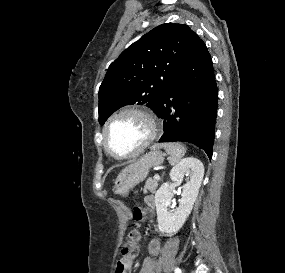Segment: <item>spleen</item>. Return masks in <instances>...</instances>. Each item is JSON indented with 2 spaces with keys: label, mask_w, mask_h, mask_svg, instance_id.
I'll use <instances>...</instances> for the list:
<instances>
[{
  "label": "spleen",
  "mask_w": 285,
  "mask_h": 273,
  "mask_svg": "<svg viewBox=\"0 0 285 273\" xmlns=\"http://www.w3.org/2000/svg\"><path fill=\"white\" fill-rule=\"evenodd\" d=\"M156 148H164L166 150V152L169 155L168 159L171 165L177 164L186 153V148L180 143L169 142V143L154 145L153 149Z\"/></svg>",
  "instance_id": "spleen-1"
}]
</instances>
